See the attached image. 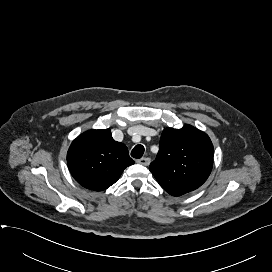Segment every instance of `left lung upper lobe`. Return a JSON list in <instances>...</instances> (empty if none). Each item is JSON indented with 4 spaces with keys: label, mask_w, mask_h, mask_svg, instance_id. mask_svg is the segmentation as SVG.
<instances>
[{
    "label": "left lung upper lobe",
    "mask_w": 272,
    "mask_h": 272,
    "mask_svg": "<svg viewBox=\"0 0 272 272\" xmlns=\"http://www.w3.org/2000/svg\"><path fill=\"white\" fill-rule=\"evenodd\" d=\"M214 149L209 136L185 125L163 130L159 152L149 169L170 195L181 196L199 188L213 166Z\"/></svg>",
    "instance_id": "left-lung-upper-lobe-1"
}]
</instances>
